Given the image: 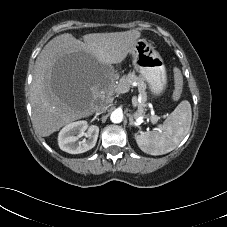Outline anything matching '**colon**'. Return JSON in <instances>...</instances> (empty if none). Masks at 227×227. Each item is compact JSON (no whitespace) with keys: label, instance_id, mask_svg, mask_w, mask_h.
<instances>
[{"label":"colon","instance_id":"5ec220e1","mask_svg":"<svg viewBox=\"0 0 227 227\" xmlns=\"http://www.w3.org/2000/svg\"><path fill=\"white\" fill-rule=\"evenodd\" d=\"M174 78H175L174 98L178 99L182 93L183 78L181 72L177 69L174 70Z\"/></svg>","mask_w":227,"mask_h":227}]
</instances>
